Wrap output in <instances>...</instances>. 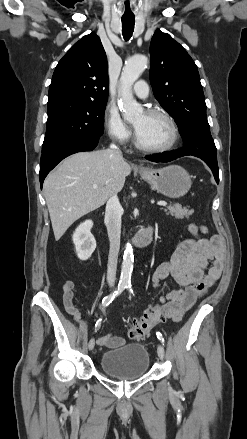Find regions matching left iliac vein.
I'll return each mask as SVG.
<instances>
[{
	"label": "left iliac vein",
	"instance_id": "left-iliac-vein-1",
	"mask_svg": "<svg viewBox=\"0 0 247 439\" xmlns=\"http://www.w3.org/2000/svg\"><path fill=\"white\" fill-rule=\"evenodd\" d=\"M157 354H158V356H159V358H160L161 360L164 359V357H165V352H164V348H163V346H162L161 344L158 345V347H157Z\"/></svg>",
	"mask_w": 247,
	"mask_h": 439
}]
</instances>
